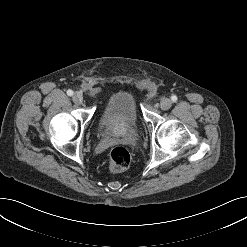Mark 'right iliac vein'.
<instances>
[{
  "label": "right iliac vein",
  "mask_w": 247,
  "mask_h": 247,
  "mask_svg": "<svg viewBox=\"0 0 247 247\" xmlns=\"http://www.w3.org/2000/svg\"><path fill=\"white\" fill-rule=\"evenodd\" d=\"M72 100L76 104H82V102H83L82 94H80L78 92L74 93Z\"/></svg>",
  "instance_id": "obj_1"
}]
</instances>
